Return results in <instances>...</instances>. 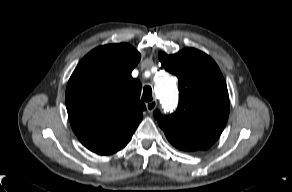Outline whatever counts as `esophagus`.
<instances>
[{
  "mask_svg": "<svg viewBox=\"0 0 292 192\" xmlns=\"http://www.w3.org/2000/svg\"><path fill=\"white\" fill-rule=\"evenodd\" d=\"M156 107H157V101L156 100H153V101H150V102L146 103V108H147V111L149 113L153 112Z\"/></svg>",
  "mask_w": 292,
  "mask_h": 192,
  "instance_id": "obj_1",
  "label": "esophagus"
}]
</instances>
